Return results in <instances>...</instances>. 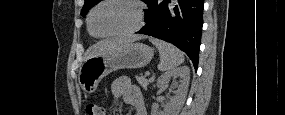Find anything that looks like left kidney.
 I'll list each match as a JSON object with an SVG mask.
<instances>
[{
    "instance_id": "1",
    "label": "left kidney",
    "mask_w": 285,
    "mask_h": 115,
    "mask_svg": "<svg viewBox=\"0 0 285 115\" xmlns=\"http://www.w3.org/2000/svg\"><path fill=\"white\" fill-rule=\"evenodd\" d=\"M171 77H179L180 84H177L174 97L166 104L164 112L159 113L158 104H152L151 115H178L181 110L188 91L190 81V69L187 66H181L171 71L165 72L157 80V87L164 89L168 86Z\"/></svg>"
}]
</instances>
